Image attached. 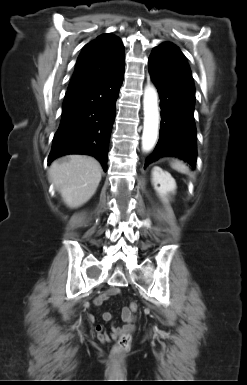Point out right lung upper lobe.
I'll return each instance as SVG.
<instances>
[{"label":"right lung upper lobe","instance_id":"obj_1","mask_svg":"<svg viewBox=\"0 0 247 385\" xmlns=\"http://www.w3.org/2000/svg\"><path fill=\"white\" fill-rule=\"evenodd\" d=\"M124 65L125 53L121 40L111 34H102L83 48L68 89L112 74Z\"/></svg>","mask_w":247,"mask_h":385}]
</instances>
